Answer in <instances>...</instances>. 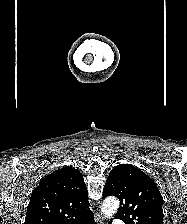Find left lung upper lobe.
<instances>
[{
    "label": "left lung upper lobe",
    "mask_w": 187,
    "mask_h": 224,
    "mask_svg": "<svg viewBox=\"0 0 187 224\" xmlns=\"http://www.w3.org/2000/svg\"><path fill=\"white\" fill-rule=\"evenodd\" d=\"M116 196L115 217L125 224H163L162 196L156 183L130 164L115 166L104 185L103 198Z\"/></svg>",
    "instance_id": "1"
}]
</instances>
